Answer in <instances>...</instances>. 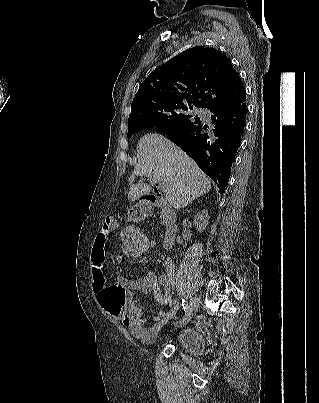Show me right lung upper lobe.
<instances>
[{
  "mask_svg": "<svg viewBox=\"0 0 319 403\" xmlns=\"http://www.w3.org/2000/svg\"><path fill=\"white\" fill-rule=\"evenodd\" d=\"M240 99H246V92L230 59L214 48L197 46L155 69L140 84L128 120L158 105L212 109Z\"/></svg>",
  "mask_w": 319,
  "mask_h": 403,
  "instance_id": "right-lung-upper-lobe-1",
  "label": "right lung upper lobe"
}]
</instances>
